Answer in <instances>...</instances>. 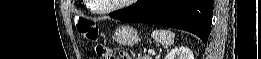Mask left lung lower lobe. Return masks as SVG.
<instances>
[{
    "label": "left lung lower lobe",
    "instance_id": "1",
    "mask_svg": "<svg viewBox=\"0 0 261 59\" xmlns=\"http://www.w3.org/2000/svg\"><path fill=\"white\" fill-rule=\"evenodd\" d=\"M213 0H139L134 6L110 16L185 30L205 44L211 32Z\"/></svg>",
    "mask_w": 261,
    "mask_h": 59
}]
</instances>
